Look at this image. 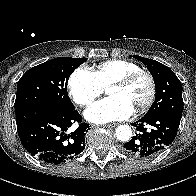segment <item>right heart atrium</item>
<instances>
[{"label": "right heart atrium", "instance_id": "d8ad5b80", "mask_svg": "<svg viewBox=\"0 0 196 196\" xmlns=\"http://www.w3.org/2000/svg\"><path fill=\"white\" fill-rule=\"evenodd\" d=\"M68 89L70 97L76 104L90 106L102 94L104 87L93 71L79 67L71 74Z\"/></svg>", "mask_w": 196, "mask_h": 196}]
</instances>
